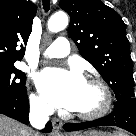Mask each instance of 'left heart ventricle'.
I'll use <instances>...</instances> for the list:
<instances>
[{
    "label": "left heart ventricle",
    "instance_id": "left-heart-ventricle-1",
    "mask_svg": "<svg viewBox=\"0 0 136 136\" xmlns=\"http://www.w3.org/2000/svg\"><path fill=\"white\" fill-rule=\"evenodd\" d=\"M102 104V93L98 87L86 82L82 100L76 111L78 112H92L98 109Z\"/></svg>",
    "mask_w": 136,
    "mask_h": 136
}]
</instances>
